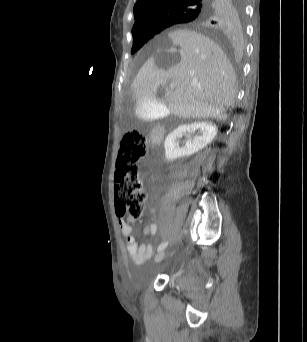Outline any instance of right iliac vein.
Wrapping results in <instances>:
<instances>
[{
  "mask_svg": "<svg viewBox=\"0 0 307 342\" xmlns=\"http://www.w3.org/2000/svg\"><path fill=\"white\" fill-rule=\"evenodd\" d=\"M165 255H166V252H165L164 250L159 251V252L155 255V261H156V262H160L161 260L164 259Z\"/></svg>",
  "mask_w": 307,
  "mask_h": 342,
  "instance_id": "right-iliac-vein-1",
  "label": "right iliac vein"
}]
</instances>
